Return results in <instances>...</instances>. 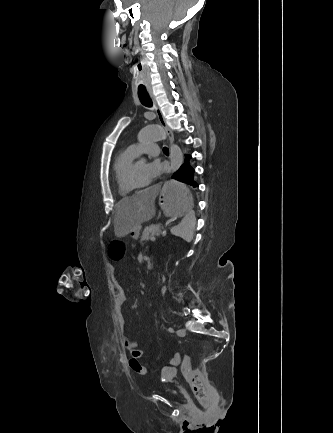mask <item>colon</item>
<instances>
[{
  "label": "colon",
  "mask_w": 333,
  "mask_h": 433,
  "mask_svg": "<svg viewBox=\"0 0 333 433\" xmlns=\"http://www.w3.org/2000/svg\"><path fill=\"white\" fill-rule=\"evenodd\" d=\"M109 247L111 263L118 265L120 258L123 257L126 250V242L121 237H118L116 240H110ZM160 278L163 280L161 284H164V280L167 278L166 275L163 274ZM158 288L161 290L163 287L160 285ZM170 362H175L176 366H180L182 374L189 383L196 400L202 405L208 403L210 399L208 379L203 371L193 366L190 356L177 352L171 357ZM129 366L138 375H146L148 373V369L135 359L129 360Z\"/></svg>",
  "instance_id": "colon-1"
}]
</instances>
